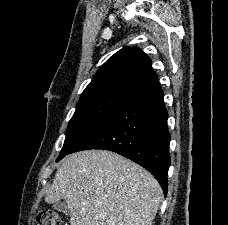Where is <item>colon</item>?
Segmentation results:
<instances>
[{
  "instance_id": "5ec220e1",
  "label": "colon",
  "mask_w": 228,
  "mask_h": 225,
  "mask_svg": "<svg viewBox=\"0 0 228 225\" xmlns=\"http://www.w3.org/2000/svg\"><path fill=\"white\" fill-rule=\"evenodd\" d=\"M36 225H62L58 213L54 209L41 208L35 217Z\"/></svg>"
}]
</instances>
